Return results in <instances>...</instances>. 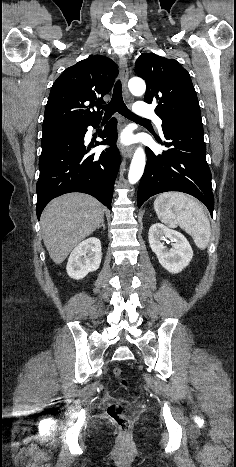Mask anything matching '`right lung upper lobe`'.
<instances>
[{"instance_id":"obj_1","label":"right lung upper lobe","mask_w":236,"mask_h":467,"mask_svg":"<svg viewBox=\"0 0 236 467\" xmlns=\"http://www.w3.org/2000/svg\"><path fill=\"white\" fill-rule=\"evenodd\" d=\"M118 75L109 58L94 55L67 68L54 82L45 108L43 132L80 129L101 119L103 96ZM89 104V105H88Z\"/></svg>"}]
</instances>
